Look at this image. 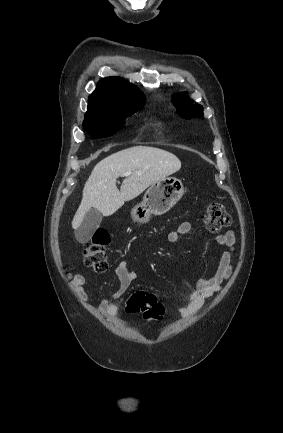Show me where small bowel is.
<instances>
[{
  "mask_svg": "<svg viewBox=\"0 0 283 433\" xmlns=\"http://www.w3.org/2000/svg\"><path fill=\"white\" fill-rule=\"evenodd\" d=\"M192 228L193 224L191 222H183L177 229L168 233L167 239L171 243H176L183 235L189 233ZM215 239L225 250L222 252L217 268L212 275L199 279L195 284L188 285L189 293L187 303L176 308L177 314L182 319L194 315L207 298L221 292L223 282L232 274V256L235 245L234 233L232 231L220 233L216 235ZM115 274L119 279L120 285L118 290L114 293L113 299L118 300L129 289L132 281L136 279L137 274L129 268L128 262L125 260L117 264ZM71 285L79 300L84 303L87 302L88 292L85 287V277L81 274L75 275L71 281ZM99 310L105 315H115L118 311V307L113 300L105 299L101 301Z\"/></svg>",
  "mask_w": 283,
  "mask_h": 433,
  "instance_id": "1",
  "label": "small bowel"
}]
</instances>
